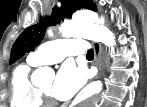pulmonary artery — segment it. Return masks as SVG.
<instances>
[{
  "label": "pulmonary artery",
  "mask_w": 147,
  "mask_h": 107,
  "mask_svg": "<svg viewBox=\"0 0 147 107\" xmlns=\"http://www.w3.org/2000/svg\"><path fill=\"white\" fill-rule=\"evenodd\" d=\"M89 46L81 39H58L40 45L29 57L38 65L55 64L62 61L66 56L74 54H86Z\"/></svg>",
  "instance_id": "1"
}]
</instances>
